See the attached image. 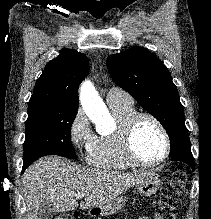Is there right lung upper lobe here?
<instances>
[{
    "instance_id": "obj_1",
    "label": "right lung upper lobe",
    "mask_w": 211,
    "mask_h": 219,
    "mask_svg": "<svg viewBox=\"0 0 211 219\" xmlns=\"http://www.w3.org/2000/svg\"><path fill=\"white\" fill-rule=\"evenodd\" d=\"M88 71L89 62L83 53L63 48L37 80L29 104L48 103L58 109L77 110L78 87Z\"/></svg>"
}]
</instances>
